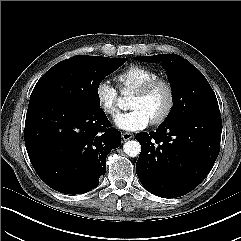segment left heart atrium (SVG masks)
I'll return each instance as SVG.
<instances>
[{
  "label": "left heart atrium",
  "instance_id": "left-heart-atrium-1",
  "mask_svg": "<svg viewBox=\"0 0 241 241\" xmlns=\"http://www.w3.org/2000/svg\"><path fill=\"white\" fill-rule=\"evenodd\" d=\"M149 117L140 109H132L129 112L117 115L115 124L127 131L142 130L148 126Z\"/></svg>",
  "mask_w": 241,
  "mask_h": 241
}]
</instances>
